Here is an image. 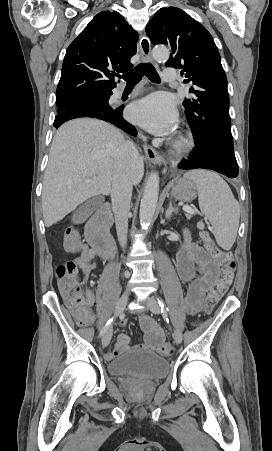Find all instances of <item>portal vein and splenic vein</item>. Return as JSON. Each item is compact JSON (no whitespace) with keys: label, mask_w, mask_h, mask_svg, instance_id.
<instances>
[{"label":"portal vein and splenic vein","mask_w":272,"mask_h":451,"mask_svg":"<svg viewBox=\"0 0 272 451\" xmlns=\"http://www.w3.org/2000/svg\"><path fill=\"white\" fill-rule=\"evenodd\" d=\"M86 182H90V180H86ZM182 210H184V212H187V214H195V210H192L190 206H183Z\"/></svg>","instance_id":"portal-vein-and-splenic-vein-1"}]
</instances>
